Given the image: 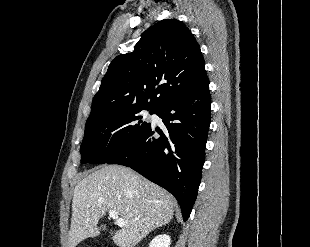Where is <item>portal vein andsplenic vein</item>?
<instances>
[{"mask_svg":"<svg viewBox=\"0 0 310 247\" xmlns=\"http://www.w3.org/2000/svg\"><path fill=\"white\" fill-rule=\"evenodd\" d=\"M109 217L112 218L113 220H115V223L119 226V227H124L125 226V221L122 218H119L118 213L116 210H109L108 212Z\"/></svg>","mask_w":310,"mask_h":247,"instance_id":"portal-vein-and-splenic-vein-1","label":"portal vein and splenic vein"}]
</instances>
